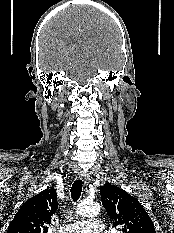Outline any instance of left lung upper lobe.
<instances>
[{"mask_svg":"<svg viewBox=\"0 0 174 233\" xmlns=\"http://www.w3.org/2000/svg\"><path fill=\"white\" fill-rule=\"evenodd\" d=\"M101 201L113 227L123 233H156L154 224L141 203L116 185L100 186Z\"/></svg>","mask_w":174,"mask_h":233,"instance_id":"obj_1","label":"left lung upper lobe"}]
</instances>
